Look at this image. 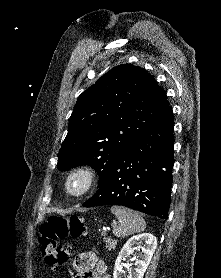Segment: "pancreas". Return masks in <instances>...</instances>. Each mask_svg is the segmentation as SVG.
I'll list each match as a JSON object with an SVG mask.
<instances>
[{
  "mask_svg": "<svg viewBox=\"0 0 221 278\" xmlns=\"http://www.w3.org/2000/svg\"><path fill=\"white\" fill-rule=\"evenodd\" d=\"M103 242L106 244V248H108L109 250L115 249V246H116V243H117L116 240H113V239L108 238V237H103Z\"/></svg>",
  "mask_w": 221,
  "mask_h": 278,
  "instance_id": "1",
  "label": "pancreas"
}]
</instances>
